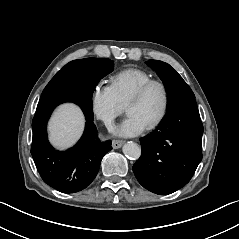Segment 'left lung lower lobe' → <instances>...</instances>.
I'll use <instances>...</instances> for the list:
<instances>
[{
  "label": "left lung lower lobe",
  "mask_w": 239,
  "mask_h": 239,
  "mask_svg": "<svg viewBox=\"0 0 239 239\" xmlns=\"http://www.w3.org/2000/svg\"><path fill=\"white\" fill-rule=\"evenodd\" d=\"M202 134L195 98L168 109L157 129L140 139L141 157L133 165L139 183L161 195L185 186L202 159Z\"/></svg>",
  "instance_id": "0a47b994"
}]
</instances>
